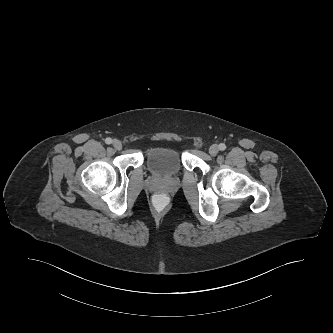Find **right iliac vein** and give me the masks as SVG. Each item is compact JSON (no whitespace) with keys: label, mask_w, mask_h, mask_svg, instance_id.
Returning a JSON list of instances; mask_svg holds the SVG:
<instances>
[{"label":"right iliac vein","mask_w":333,"mask_h":333,"mask_svg":"<svg viewBox=\"0 0 333 333\" xmlns=\"http://www.w3.org/2000/svg\"><path fill=\"white\" fill-rule=\"evenodd\" d=\"M112 144H113V147L116 150H121L122 149V143L119 140L115 139Z\"/></svg>","instance_id":"right-iliac-vein-1"}]
</instances>
